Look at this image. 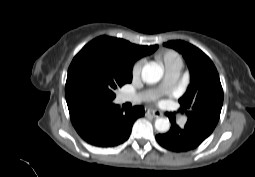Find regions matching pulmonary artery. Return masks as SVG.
Here are the masks:
<instances>
[{"label":"pulmonary artery","mask_w":255,"mask_h":177,"mask_svg":"<svg viewBox=\"0 0 255 177\" xmlns=\"http://www.w3.org/2000/svg\"><path fill=\"white\" fill-rule=\"evenodd\" d=\"M178 74H166L164 82L162 83L161 89L158 91H150L145 92L138 95H129V94H123L120 97V100L122 102H141L145 100H151L154 99L160 92L166 91L174 87L178 81ZM179 123L181 125H184L186 123V118H181L179 120Z\"/></svg>","instance_id":"e3ab8cb5"}]
</instances>
